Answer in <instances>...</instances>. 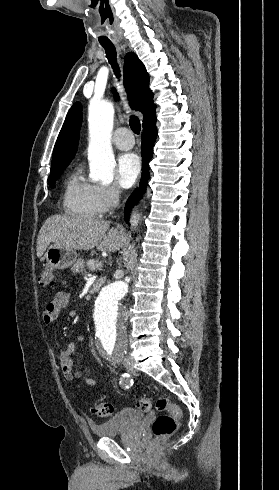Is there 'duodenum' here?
Wrapping results in <instances>:
<instances>
[{
  "instance_id": "1",
  "label": "duodenum",
  "mask_w": 279,
  "mask_h": 490,
  "mask_svg": "<svg viewBox=\"0 0 279 490\" xmlns=\"http://www.w3.org/2000/svg\"><path fill=\"white\" fill-rule=\"evenodd\" d=\"M104 284V280L103 279H97L96 281H94V283L92 284L91 286V289H90V292L91 293H96L98 292L101 287L103 286Z\"/></svg>"
}]
</instances>
